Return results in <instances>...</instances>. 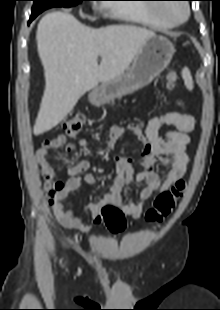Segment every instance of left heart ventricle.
<instances>
[{"mask_svg": "<svg viewBox=\"0 0 220 310\" xmlns=\"http://www.w3.org/2000/svg\"><path fill=\"white\" fill-rule=\"evenodd\" d=\"M162 13L172 19H179L183 16V7L179 4H169L162 8Z\"/></svg>", "mask_w": 220, "mask_h": 310, "instance_id": "b2bd125f", "label": "left heart ventricle"}]
</instances>
